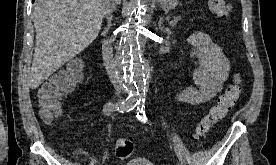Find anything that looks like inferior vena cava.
<instances>
[{"label":"inferior vena cava","mask_w":276,"mask_h":165,"mask_svg":"<svg viewBox=\"0 0 276 165\" xmlns=\"http://www.w3.org/2000/svg\"><path fill=\"white\" fill-rule=\"evenodd\" d=\"M118 2V0H106L105 1V7H104V16L111 20L112 16L111 13L113 10H115V4ZM103 59H104V65L107 70V73L109 75V78L111 79L112 83L114 84L116 93L118 97H120L122 87L119 84V78L117 75V64L113 60L112 55V48L110 45V41L104 40L103 42Z\"/></svg>","instance_id":"obj_1"}]
</instances>
